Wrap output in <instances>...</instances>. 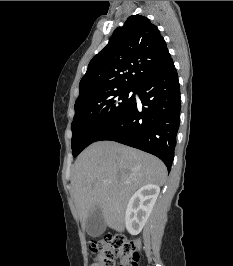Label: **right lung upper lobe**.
I'll use <instances>...</instances> for the list:
<instances>
[{
  "label": "right lung upper lobe",
  "instance_id": "cb5924a9",
  "mask_svg": "<svg viewBox=\"0 0 233 266\" xmlns=\"http://www.w3.org/2000/svg\"><path fill=\"white\" fill-rule=\"evenodd\" d=\"M172 61L164 38L147 17L130 16L93 57L76 101L119 88H138Z\"/></svg>",
  "mask_w": 233,
  "mask_h": 266
}]
</instances>
